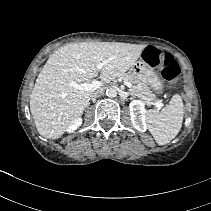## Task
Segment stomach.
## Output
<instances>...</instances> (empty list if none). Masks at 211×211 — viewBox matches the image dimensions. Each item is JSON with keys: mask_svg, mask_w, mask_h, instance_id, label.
Wrapping results in <instances>:
<instances>
[{"mask_svg": "<svg viewBox=\"0 0 211 211\" xmlns=\"http://www.w3.org/2000/svg\"><path fill=\"white\" fill-rule=\"evenodd\" d=\"M131 71L139 81L150 85L157 92L163 90V82L152 67L142 58L132 66Z\"/></svg>", "mask_w": 211, "mask_h": 211, "instance_id": "obj_1", "label": "stomach"}]
</instances>
